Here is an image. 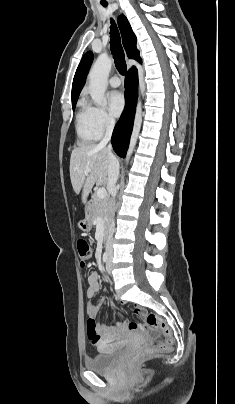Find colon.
I'll use <instances>...</instances> for the list:
<instances>
[{
	"mask_svg": "<svg viewBox=\"0 0 235 404\" xmlns=\"http://www.w3.org/2000/svg\"><path fill=\"white\" fill-rule=\"evenodd\" d=\"M77 251L81 265L84 266L91 257V248L89 243L85 240H79L77 242ZM134 314L138 316L140 320L131 322L129 324L130 329L144 331L153 335H158L159 331L162 332L164 334V338L157 341L153 347V350L162 352L168 351L173 343V337L168 324L159 315L155 313H147L140 307L134 308ZM87 325L90 328V330H88L89 338L96 340L97 336L94 331V321L88 320ZM132 360H134V357L128 358V361Z\"/></svg>",
	"mask_w": 235,
	"mask_h": 404,
	"instance_id": "5ec220e1",
	"label": "colon"
}]
</instances>
